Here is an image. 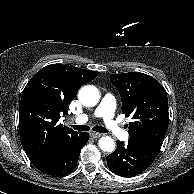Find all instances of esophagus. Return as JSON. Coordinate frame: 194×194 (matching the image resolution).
<instances>
[{
    "mask_svg": "<svg viewBox=\"0 0 194 194\" xmlns=\"http://www.w3.org/2000/svg\"><path fill=\"white\" fill-rule=\"evenodd\" d=\"M90 135H91L93 138H100L103 134L97 133V132H92Z\"/></svg>",
    "mask_w": 194,
    "mask_h": 194,
    "instance_id": "34e87169",
    "label": "esophagus"
}]
</instances>
